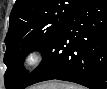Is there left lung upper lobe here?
Listing matches in <instances>:
<instances>
[{"label":"left lung upper lobe","instance_id":"obj_1","mask_svg":"<svg viewBox=\"0 0 107 89\" xmlns=\"http://www.w3.org/2000/svg\"><path fill=\"white\" fill-rule=\"evenodd\" d=\"M84 0H16L5 38L4 74L7 89H14L28 74L22 62L32 50L43 52L69 16Z\"/></svg>","mask_w":107,"mask_h":89}]
</instances>
